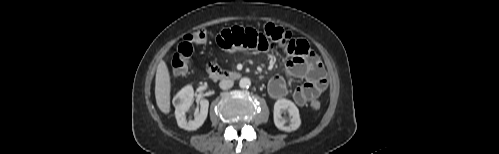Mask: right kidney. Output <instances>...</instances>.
I'll return each instance as SVG.
<instances>
[{
  "mask_svg": "<svg viewBox=\"0 0 499 154\" xmlns=\"http://www.w3.org/2000/svg\"><path fill=\"white\" fill-rule=\"evenodd\" d=\"M194 90L191 85L182 88L174 97L175 102V117L178 126L185 130H197L203 125L207 118L209 101L200 99V112L195 115V119L187 121L185 113L189 110L193 103Z\"/></svg>",
  "mask_w": 499,
  "mask_h": 154,
  "instance_id": "1",
  "label": "right kidney"
}]
</instances>
